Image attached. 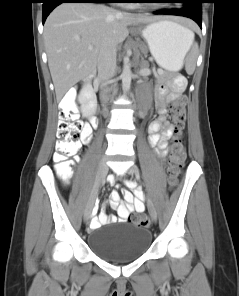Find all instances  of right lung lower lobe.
<instances>
[{
    "label": "right lung lower lobe",
    "instance_id": "obj_1",
    "mask_svg": "<svg viewBox=\"0 0 239 296\" xmlns=\"http://www.w3.org/2000/svg\"><path fill=\"white\" fill-rule=\"evenodd\" d=\"M110 0H43V23L49 13L61 3H109Z\"/></svg>",
    "mask_w": 239,
    "mask_h": 296
}]
</instances>
